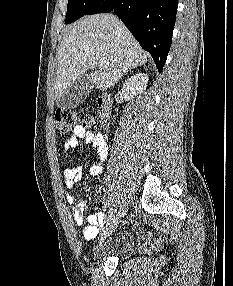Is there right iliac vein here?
<instances>
[{
    "mask_svg": "<svg viewBox=\"0 0 233 286\" xmlns=\"http://www.w3.org/2000/svg\"><path fill=\"white\" fill-rule=\"evenodd\" d=\"M118 223H119V217L113 218L111 221H109L105 226L101 239L104 240L109 235H111L115 231Z\"/></svg>",
    "mask_w": 233,
    "mask_h": 286,
    "instance_id": "1",
    "label": "right iliac vein"
}]
</instances>
